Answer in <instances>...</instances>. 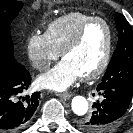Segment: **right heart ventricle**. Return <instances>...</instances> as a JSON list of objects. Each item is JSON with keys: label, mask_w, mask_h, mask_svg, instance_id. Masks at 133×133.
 <instances>
[{"label": "right heart ventricle", "mask_w": 133, "mask_h": 133, "mask_svg": "<svg viewBox=\"0 0 133 133\" xmlns=\"http://www.w3.org/2000/svg\"><path fill=\"white\" fill-rule=\"evenodd\" d=\"M92 17L83 12H69L50 22L46 28L45 35L52 46L60 52L80 26Z\"/></svg>", "instance_id": "obj_1"}]
</instances>
